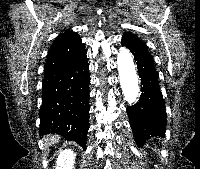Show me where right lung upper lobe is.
<instances>
[{
    "instance_id": "obj_1",
    "label": "right lung upper lobe",
    "mask_w": 200,
    "mask_h": 169,
    "mask_svg": "<svg viewBox=\"0 0 200 169\" xmlns=\"http://www.w3.org/2000/svg\"><path fill=\"white\" fill-rule=\"evenodd\" d=\"M85 51L81 37L73 31L60 34L51 45L45 70L71 63Z\"/></svg>"
}]
</instances>
